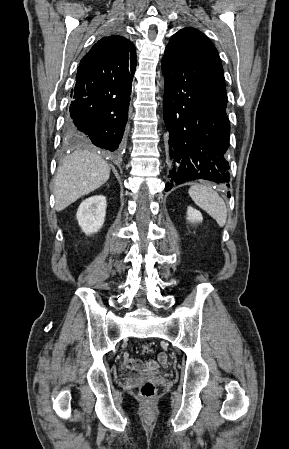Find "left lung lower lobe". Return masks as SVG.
I'll return each mask as SVG.
<instances>
[{"label": "left lung lower lobe", "instance_id": "obj_1", "mask_svg": "<svg viewBox=\"0 0 289 449\" xmlns=\"http://www.w3.org/2000/svg\"><path fill=\"white\" fill-rule=\"evenodd\" d=\"M162 71L171 162L165 191L195 179L229 187L230 123L225 87L201 66L167 54L162 60Z\"/></svg>", "mask_w": 289, "mask_h": 449}]
</instances>
